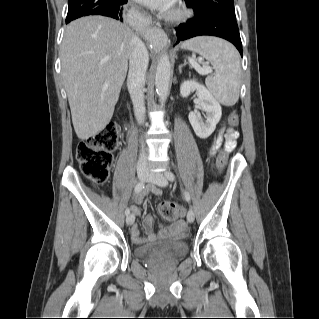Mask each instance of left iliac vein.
<instances>
[{
  "label": "left iliac vein",
  "mask_w": 319,
  "mask_h": 319,
  "mask_svg": "<svg viewBox=\"0 0 319 319\" xmlns=\"http://www.w3.org/2000/svg\"><path fill=\"white\" fill-rule=\"evenodd\" d=\"M149 181L160 187H166L168 185V180L162 173L151 172L149 174ZM194 218L195 215L193 210L189 209L187 213V221L192 223L194 221Z\"/></svg>",
  "instance_id": "obj_1"
}]
</instances>
